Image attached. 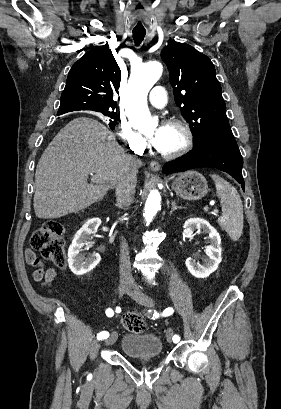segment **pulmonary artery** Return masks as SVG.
Returning a JSON list of instances; mask_svg holds the SVG:
<instances>
[{
  "label": "pulmonary artery",
  "mask_w": 281,
  "mask_h": 409,
  "mask_svg": "<svg viewBox=\"0 0 281 409\" xmlns=\"http://www.w3.org/2000/svg\"><path fill=\"white\" fill-rule=\"evenodd\" d=\"M152 96L150 97L151 105L156 109L166 105L165 91L162 86H153L151 89Z\"/></svg>",
  "instance_id": "obj_1"
}]
</instances>
